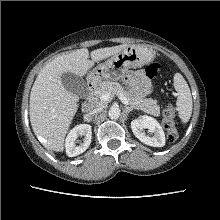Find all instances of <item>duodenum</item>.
Wrapping results in <instances>:
<instances>
[{
    "instance_id": "duodenum-1",
    "label": "duodenum",
    "mask_w": 220,
    "mask_h": 220,
    "mask_svg": "<svg viewBox=\"0 0 220 220\" xmlns=\"http://www.w3.org/2000/svg\"><path fill=\"white\" fill-rule=\"evenodd\" d=\"M96 84L94 81L88 82L87 87V101L84 106V110L86 113H90L93 109L96 108Z\"/></svg>"
}]
</instances>
